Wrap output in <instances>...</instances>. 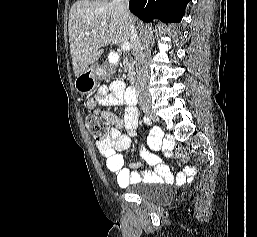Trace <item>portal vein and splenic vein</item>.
Listing matches in <instances>:
<instances>
[{
    "mask_svg": "<svg viewBox=\"0 0 257 237\" xmlns=\"http://www.w3.org/2000/svg\"><path fill=\"white\" fill-rule=\"evenodd\" d=\"M92 33L95 34L96 31L93 30ZM121 49H122L123 51H129V50H130V43H129V42H123V43L121 44Z\"/></svg>",
    "mask_w": 257,
    "mask_h": 237,
    "instance_id": "18ae733b",
    "label": "portal vein and splenic vein"
}]
</instances>
